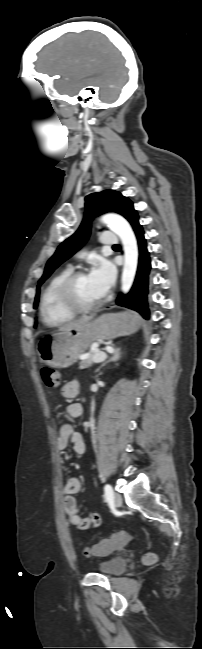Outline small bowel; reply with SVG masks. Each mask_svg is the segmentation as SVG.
Wrapping results in <instances>:
<instances>
[{"instance_id": "obj_1", "label": "small bowel", "mask_w": 202, "mask_h": 649, "mask_svg": "<svg viewBox=\"0 0 202 649\" xmlns=\"http://www.w3.org/2000/svg\"><path fill=\"white\" fill-rule=\"evenodd\" d=\"M78 392L79 383L75 379L66 382L62 388V395L67 398H74ZM66 412L71 418L77 419L83 414V406L79 402H71L66 406ZM69 443L72 444L73 451L76 454L81 455L85 453L86 445L81 433L77 432L71 424L66 423L60 427L56 440V448L59 451H64L68 448ZM80 490L81 482L76 477L67 480L63 487L65 494L63 507L67 513L69 523L83 531L99 528L102 525V518L98 513L83 515L78 509L74 496Z\"/></svg>"}]
</instances>
